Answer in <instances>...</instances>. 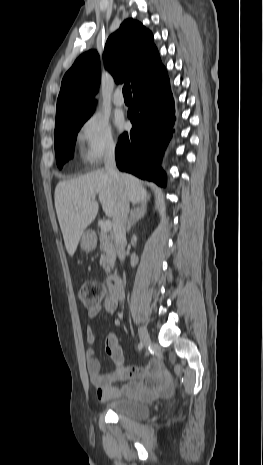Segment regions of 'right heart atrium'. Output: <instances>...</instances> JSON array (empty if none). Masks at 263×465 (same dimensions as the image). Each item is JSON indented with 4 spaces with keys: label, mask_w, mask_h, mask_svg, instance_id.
Listing matches in <instances>:
<instances>
[{
    "label": "right heart atrium",
    "mask_w": 263,
    "mask_h": 465,
    "mask_svg": "<svg viewBox=\"0 0 263 465\" xmlns=\"http://www.w3.org/2000/svg\"><path fill=\"white\" fill-rule=\"evenodd\" d=\"M76 138L80 157L90 166L112 156L118 145L109 121L99 113L90 114L82 122Z\"/></svg>",
    "instance_id": "right-heart-atrium-1"
}]
</instances>
